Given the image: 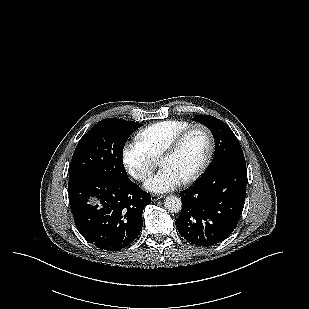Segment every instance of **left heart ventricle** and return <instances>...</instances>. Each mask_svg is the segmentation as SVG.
Masks as SVG:
<instances>
[{"label": "left heart ventricle", "instance_id": "left-heart-ventricle-1", "mask_svg": "<svg viewBox=\"0 0 309 309\" xmlns=\"http://www.w3.org/2000/svg\"><path fill=\"white\" fill-rule=\"evenodd\" d=\"M208 147L206 133L201 129H195L185 138L174 155L160 162V166L173 171L182 181L201 166Z\"/></svg>", "mask_w": 309, "mask_h": 309}]
</instances>
